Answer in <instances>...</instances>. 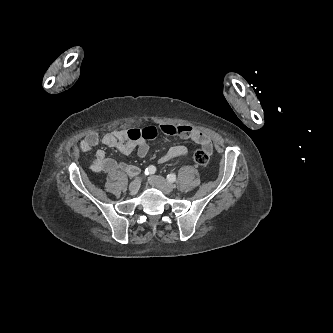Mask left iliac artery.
I'll return each mask as SVG.
<instances>
[{
  "instance_id": "44dca946",
  "label": "left iliac artery",
  "mask_w": 333,
  "mask_h": 333,
  "mask_svg": "<svg viewBox=\"0 0 333 333\" xmlns=\"http://www.w3.org/2000/svg\"><path fill=\"white\" fill-rule=\"evenodd\" d=\"M169 182H174L176 180V174L172 173L167 176Z\"/></svg>"
}]
</instances>
